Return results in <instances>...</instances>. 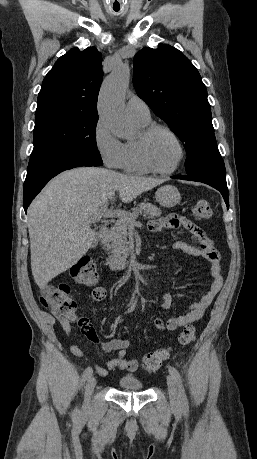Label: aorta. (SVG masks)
<instances>
[{
	"label": "aorta",
	"mask_w": 257,
	"mask_h": 459,
	"mask_svg": "<svg viewBox=\"0 0 257 459\" xmlns=\"http://www.w3.org/2000/svg\"><path fill=\"white\" fill-rule=\"evenodd\" d=\"M129 81V67L124 64L115 67L102 84L98 102L102 122L113 135L121 139H131L135 135L134 125L123 105Z\"/></svg>",
	"instance_id": "obj_1"
}]
</instances>
